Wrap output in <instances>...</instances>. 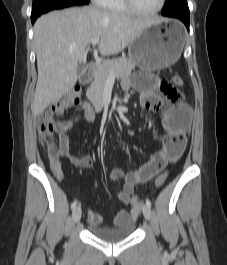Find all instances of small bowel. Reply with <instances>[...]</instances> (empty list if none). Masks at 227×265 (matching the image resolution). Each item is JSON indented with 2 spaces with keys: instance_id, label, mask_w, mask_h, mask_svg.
Here are the masks:
<instances>
[{
  "instance_id": "obj_1",
  "label": "small bowel",
  "mask_w": 227,
  "mask_h": 265,
  "mask_svg": "<svg viewBox=\"0 0 227 265\" xmlns=\"http://www.w3.org/2000/svg\"><path fill=\"white\" fill-rule=\"evenodd\" d=\"M132 78L125 79L121 87L124 91L135 89L140 94L141 105L150 111L156 112L162 108L164 101L170 105L162 113L161 122L165 131L163 147L154 153L150 159L139 169L124 172L122 169L114 168L109 176L113 180L123 179V186L116 196L125 203L130 204L134 188L138 184L145 183L157 175L169 161L177 159L185 147L184 133L190 125L191 111L184 103V96L172 85L164 80L158 79L153 72H133L129 73ZM86 119L92 122L95 115L91 112L85 114ZM74 123V119L57 122L54 131L58 135V145L49 150L50 168L59 180L63 179V173L59 158H66L70 163L82 168L92 166V158L88 155L77 156L70 150V138L68 130ZM88 222L98 226L103 222L100 214L88 211ZM133 219V214L126 211H119L114 217L115 225L126 224Z\"/></svg>"
}]
</instances>
